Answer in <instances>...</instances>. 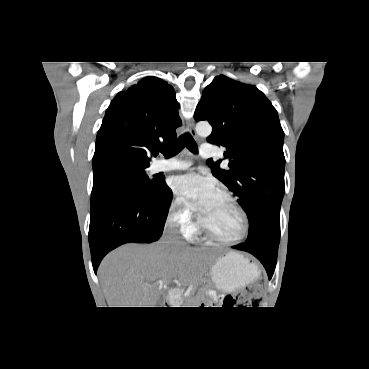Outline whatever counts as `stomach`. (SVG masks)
Returning a JSON list of instances; mask_svg holds the SVG:
<instances>
[{"instance_id":"1","label":"stomach","mask_w":369,"mask_h":369,"mask_svg":"<svg viewBox=\"0 0 369 369\" xmlns=\"http://www.w3.org/2000/svg\"><path fill=\"white\" fill-rule=\"evenodd\" d=\"M211 276L219 290L231 293L254 280L257 276V266L242 255L229 252L217 259L211 268Z\"/></svg>"}]
</instances>
